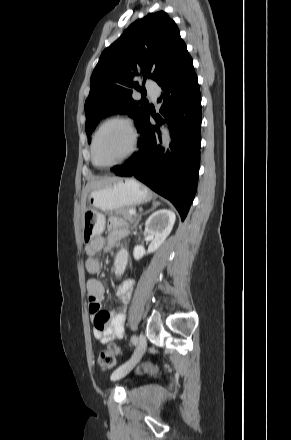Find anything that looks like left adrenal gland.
I'll list each match as a JSON object with an SVG mask.
<instances>
[{
	"label": "left adrenal gland",
	"instance_id": "a2214340",
	"mask_svg": "<svg viewBox=\"0 0 291 440\" xmlns=\"http://www.w3.org/2000/svg\"><path fill=\"white\" fill-rule=\"evenodd\" d=\"M158 204H159V203H154V204H153V208L156 207ZM148 212H149V211H146V212H144V213H141V214L138 216L136 222L134 223V226H133L134 228L137 227V225L139 224V221L141 220L142 215H144V214H146V213H148Z\"/></svg>",
	"mask_w": 291,
	"mask_h": 440
}]
</instances>
